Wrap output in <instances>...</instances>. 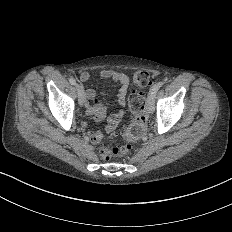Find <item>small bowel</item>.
<instances>
[{"mask_svg":"<svg viewBox=\"0 0 232 232\" xmlns=\"http://www.w3.org/2000/svg\"><path fill=\"white\" fill-rule=\"evenodd\" d=\"M98 77L104 81L112 80L120 85L118 101L120 106H124L129 86L128 76L123 72L111 69H102L99 71ZM78 80L81 84H86L89 82L90 77L87 72L80 71L78 73ZM79 94L82 102L84 103V115L81 117L76 126V136L84 142L99 143L104 139V134L101 131L88 132V122L92 118L106 119L108 122L106 127L107 131H113L118 121L125 118V112L122 110L108 112L107 109L101 105H91L90 102L95 98V91L93 88H81Z\"/></svg>","mask_w":232,"mask_h":232,"instance_id":"c3829d8e","label":"small bowel"}]
</instances>
